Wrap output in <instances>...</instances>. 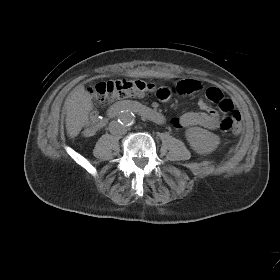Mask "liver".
<instances>
[{
  "label": "liver",
  "instance_id": "1",
  "mask_svg": "<svg viewBox=\"0 0 280 280\" xmlns=\"http://www.w3.org/2000/svg\"><path fill=\"white\" fill-rule=\"evenodd\" d=\"M92 97L83 86L77 87L66 100V130L69 137H76L88 121L92 110Z\"/></svg>",
  "mask_w": 280,
  "mask_h": 280
}]
</instances>
